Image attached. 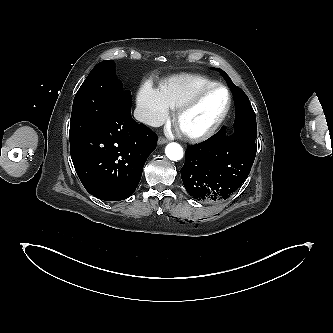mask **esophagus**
<instances>
[{
  "label": "esophagus",
  "instance_id": "esophagus-1",
  "mask_svg": "<svg viewBox=\"0 0 333 333\" xmlns=\"http://www.w3.org/2000/svg\"><path fill=\"white\" fill-rule=\"evenodd\" d=\"M157 142H158L159 145H162V144L167 143L168 140L164 137H159Z\"/></svg>",
  "mask_w": 333,
  "mask_h": 333
}]
</instances>
